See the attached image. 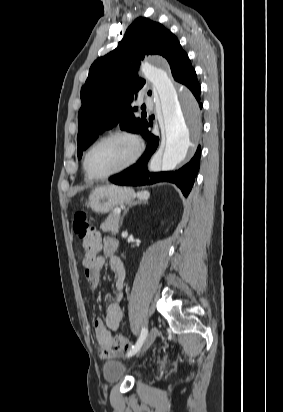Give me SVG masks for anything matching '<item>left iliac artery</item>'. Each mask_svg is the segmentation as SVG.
<instances>
[{"label": "left iliac artery", "mask_w": 283, "mask_h": 412, "mask_svg": "<svg viewBox=\"0 0 283 412\" xmlns=\"http://www.w3.org/2000/svg\"><path fill=\"white\" fill-rule=\"evenodd\" d=\"M148 330L146 328H142L141 334L136 342V344L132 347V349L127 353V356L130 357L137 353L139 349L141 348L146 336H147Z\"/></svg>", "instance_id": "obj_1"}]
</instances>
